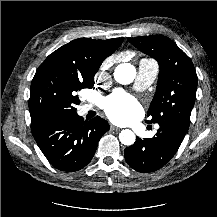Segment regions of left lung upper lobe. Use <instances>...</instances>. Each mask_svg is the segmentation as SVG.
I'll return each mask as SVG.
<instances>
[{"instance_id":"5c2ea615","label":"left lung upper lobe","mask_w":217,"mask_h":217,"mask_svg":"<svg viewBox=\"0 0 217 217\" xmlns=\"http://www.w3.org/2000/svg\"><path fill=\"white\" fill-rule=\"evenodd\" d=\"M128 41L159 63L157 89L147 113L151 120L146 122H173L188 129L198 83L190 58L162 35L129 38Z\"/></svg>"}]
</instances>
